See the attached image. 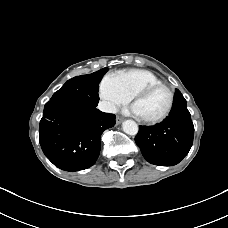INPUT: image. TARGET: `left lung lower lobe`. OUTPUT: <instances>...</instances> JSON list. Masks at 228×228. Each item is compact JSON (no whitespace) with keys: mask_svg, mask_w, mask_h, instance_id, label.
I'll return each instance as SVG.
<instances>
[{"mask_svg":"<svg viewBox=\"0 0 228 228\" xmlns=\"http://www.w3.org/2000/svg\"><path fill=\"white\" fill-rule=\"evenodd\" d=\"M193 137L194 126L186 100L177 90L169 116L155 126H140L135 142L149 163L173 166L188 154Z\"/></svg>","mask_w":228,"mask_h":228,"instance_id":"1","label":"left lung lower lobe"}]
</instances>
